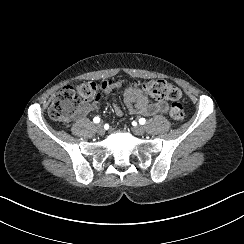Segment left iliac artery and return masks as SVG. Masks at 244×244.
<instances>
[{
	"label": "left iliac artery",
	"instance_id": "1",
	"mask_svg": "<svg viewBox=\"0 0 244 244\" xmlns=\"http://www.w3.org/2000/svg\"><path fill=\"white\" fill-rule=\"evenodd\" d=\"M145 122H146L145 118H140V119H139V123H140V124L143 125V124H145Z\"/></svg>",
	"mask_w": 244,
	"mask_h": 244
}]
</instances>
